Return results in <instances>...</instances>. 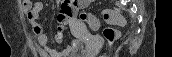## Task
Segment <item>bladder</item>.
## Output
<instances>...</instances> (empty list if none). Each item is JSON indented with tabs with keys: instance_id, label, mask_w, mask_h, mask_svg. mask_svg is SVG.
<instances>
[{
	"instance_id": "bladder-1",
	"label": "bladder",
	"mask_w": 172,
	"mask_h": 57,
	"mask_svg": "<svg viewBox=\"0 0 172 57\" xmlns=\"http://www.w3.org/2000/svg\"><path fill=\"white\" fill-rule=\"evenodd\" d=\"M87 52H83L81 54H71V55H68L67 57H88L86 55Z\"/></svg>"
}]
</instances>
